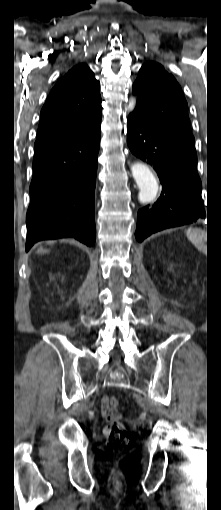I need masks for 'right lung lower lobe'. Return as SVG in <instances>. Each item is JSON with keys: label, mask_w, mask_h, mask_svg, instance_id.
<instances>
[{"label": "right lung lower lobe", "mask_w": 221, "mask_h": 510, "mask_svg": "<svg viewBox=\"0 0 221 510\" xmlns=\"http://www.w3.org/2000/svg\"><path fill=\"white\" fill-rule=\"evenodd\" d=\"M100 122L64 140L35 148L26 251L38 241L66 237L94 245Z\"/></svg>", "instance_id": "right-lung-lower-lobe-1"}]
</instances>
